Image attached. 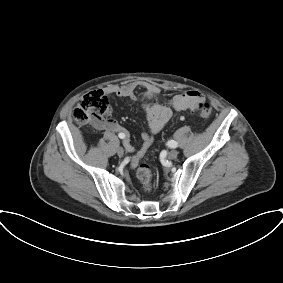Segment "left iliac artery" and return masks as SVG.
<instances>
[{
    "instance_id": "obj_1",
    "label": "left iliac artery",
    "mask_w": 283,
    "mask_h": 283,
    "mask_svg": "<svg viewBox=\"0 0 283 283\" xmlns=\"http://www.w3.org/2000/svg\"><path fill=\"white\" fill-rule=\"evenodd\" d=\"M167 145L171 148H176L178 146V143L174 140L168 141Z\"/></svg>"
}]
</instances>
